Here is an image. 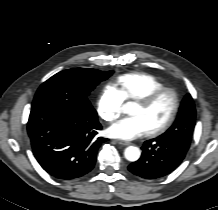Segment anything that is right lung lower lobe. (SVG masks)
I'll use <instances>...</instances> for the list:
<instances>
[{
  "label": "right lung lower lobe",
  "instance_id": "98d812e1",
  "mask_svg": "<svg viewBox=\"0 0 218 210\" xmlns=\"http://www.w3.org/2000/svg\"><path fill=\"white\" fill-rule=\"evenodd\" d=\"M97 113L57 102L32 105L27 131L41 167L57 179L70 180L90 172L100 145Z\"/></svg>",
  "mask_w": 218,
  "mask_h": 210
}]
</instances>
